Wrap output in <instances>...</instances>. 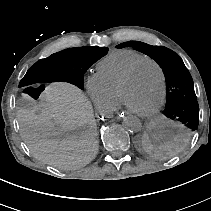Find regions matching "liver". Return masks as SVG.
I'll return each mask as SVG.
<instances>
[{
    "mask_svg": "<svg viewBox=\"0 0 211 211\" xmlns=\"http://www.w3.org/2000/svg\"><path fill=\"white\" fill-rule=\"evenodd\" d=\"M42 97L39 105L17 112L29 149L37 159L61 169L89 163L98 143L96 120L87 97L67 83L51 84Z\"/></svg>",
    "mask_w": 211,
    "mask_h": 211,
    "instance_id": "obj_1",
    "label": "liver"
}]
</instances>
